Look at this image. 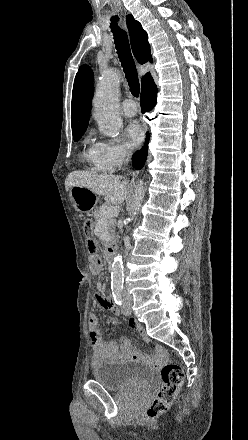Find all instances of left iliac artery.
Masks as SVG:
<instances>
[{"instance_id":"1","label":"left iliac artery","mask_w":248,"mask_h":440,"mask_svg":"<svg viewBox=\"0 0 248 440\" xmlns=\"http://www.w3.org/2000/svg\"><path fill=\"white\" fill-rule=\"evenodd\" d=\"M112 294H113L115 303L117 305H121L122 304V288H120V287L112 288Z\"/></svg>"}]
</instances>
